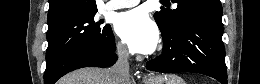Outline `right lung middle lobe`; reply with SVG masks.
I'll return each mask as SVG.
<instances>
[{
	"mask_svg": "<svg viewBox=\"0 0 260 84\" xmlns=\"http://www.w3.org/2000/svg\"><path fill=\"white\" fill-rule=\"evenodd\" d=\"M97 12L82 15L48 28L46 68H51L67 53L82 47L109 48L113 43L111 26L98 20Z\"/></svg>",
	"mask_w": 260,
	"mask_h": 84,
	"instance_id": "right-lung-middle-lobe-1",
	"label": "right lung middle lobe"
}]
</instances>
